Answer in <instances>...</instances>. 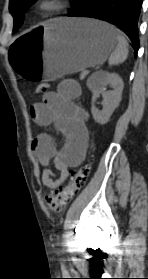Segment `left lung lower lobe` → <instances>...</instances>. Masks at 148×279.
Listing matches in <instances>:
<instances>
[{
	"instance_id": "obj_1",
	"label": "left lung lower lobe",
	"mask_w": 148,
	"mask_h": 279,
	"mask_svg": "<svg viewBox=\"0 0 148 279\" xmlns=\"http://www.w3.org/2000/svg\"><path fill=\"white\" fill-rule=\"evenodd\" d=\"M73 6L68 16L97 18L116 25L128 35L137 54L142 0H78Z\"/></svg>"
}]
</instances>
